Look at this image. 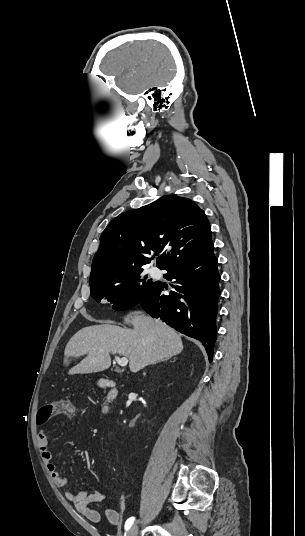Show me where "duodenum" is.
Segmentation results:
<instances>
[{
    "instance_id": "duodenum-1",
    "label": "duodenum",
    "mask_w": 305,
    "mask_h": 536,
    "mask_svg": "<svg viewBox=\"0 0 305 536\" xmlns=\"http://www.w3.org/2000/svg\"><path fill=\"white\" fill-rule=\"evenodd\" d=\"M116 397V392L112 391L109 395V399L112 401Z\"/></svg>"
}]
</instances>
